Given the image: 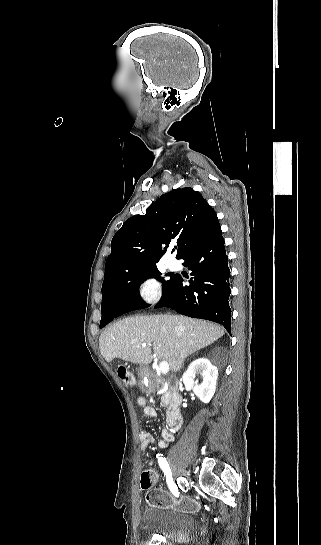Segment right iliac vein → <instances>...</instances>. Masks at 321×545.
Listing matches in <instances>:
<instances>
[{
	"label": "right iliac vein",
	"instance_id": "63e3f726",
	"mask_svg": "<svg viewBox=\"0 0 321 545\" xmlns=\"http://www.w3.org/2000/svg\"><path fill=\"white\" fill-rule=\"evenodd\" d=\"M180 475L182 476L181 478L185 477L184 471H181Z\"/></svg>",
	"mask_w": 321,
	"mask_h": 545
}]
</instances>
